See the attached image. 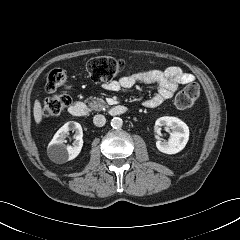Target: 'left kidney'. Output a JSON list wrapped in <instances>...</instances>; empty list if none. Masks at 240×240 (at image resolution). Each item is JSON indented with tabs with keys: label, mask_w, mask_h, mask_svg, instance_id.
<instances>
[{
	"label": "left kidney",
	"mask_w": 240,
	"mask_h": 240,
	"mask_svg": "<svg viewBox=\"0 0 240 240\" xmlns=\"http://www.w3.org/2000/svg\"><path fill=\"white\" fill-rule=\"evenodd\" d=\"M170 127L172 132L168 141H162L156 136V147L159 151L166 154H176L184 149L189 140V127L177 117L164 116L155 122V130L157 127Z\"/></svg>",
	"instance_id": "left-kidney-1"
}]
</instances>
